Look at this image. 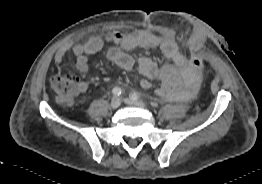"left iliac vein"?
I'll return each instance as SVG.
<instances>
[{"label": "left iliac vein", "mask_w": 262, "mask_h": 184, "mask_svg": "<svg viewBox=\"0 0 262 184\" xmlns=\"http://www.w3.org/2000/svg\"><path fill=\"white\" fill-rule=\"evenodd\" d=\"M124 102L128 105L137 106V107H146V104L141 100H134L131 98L124 99Z\"/></svg>", "instance_id": "obj_1"}]
</instances>
